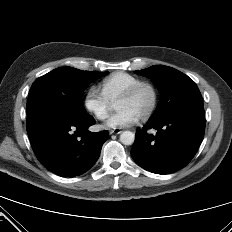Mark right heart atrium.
Listing matches in <instances>:
<instances>
[{
    "mask_svg": "<svg viewBox=\"0 0 232 232\" xmlns=\"http://www.w3.org/2000/svg\"><path fill=\"white\" fill-rule=\"evenodd\" d=\"M83 106L97 120L106 119L111 110V103L101 92L93 87L85 92Z\"/></svg>",
    "mask_w": 232,
    "mask_h": 232,
    "instance_id": "1",
    "label": "right heart atrium"
}]
</instances>
